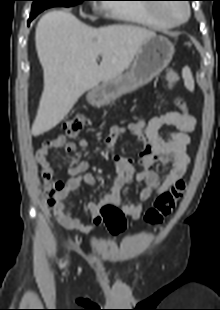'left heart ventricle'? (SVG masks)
<instances>
[{
  "label": "left heart ventricle",
  "instance_id": "b2bd125f",
  "mask_svg": "<svg viewBox=\"0 0 220 310\" xmlns=\"http://www.w3.org/2000/svg\"><path fill=\"white\" fill-rule=\"evenodd\" d=\"M161 13L173 20H179L184 17L185 9L181 4H168L161 8Z\"/></svg>",
  "mask_w": 220,
  "mask_h": 310
}]
</instances>
